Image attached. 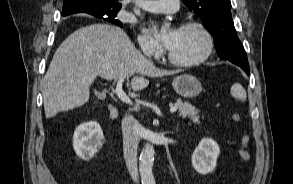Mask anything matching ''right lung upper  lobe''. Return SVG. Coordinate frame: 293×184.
<instances>
[{"mask_svg": "<svg viewBox=\"0 0 293 184\" xmlns=\"http://www.w3.org/2000/svg\"><path fill=\"white\" fill-rule=\"evenodd\" d=\"M120 8L121 4L118 0H64L62 16L84 12L101 18L98 14L99 10L119 11ZM105 20L108 19L105 18Z\"/></svg>", "mask_w": 293, "mask_h": 184, "instance_id": "1", "label": "right lung upper lobe"}]
</instances>
